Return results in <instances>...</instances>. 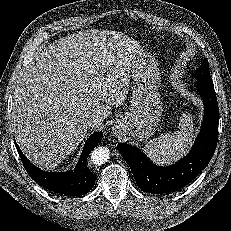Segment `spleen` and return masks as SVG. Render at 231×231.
<instances>
[{"mask_svg":"<svg viewBox=\"0 0 231 231\" xmlns=\"http://www.w3.org/2000/svg\"><path fill=\"white\" fill-rule=\"evenodd\" d=\"M193 118L188 113H183L179 123V130L173 134L163 133L150 140L145 145V151L149 157L162 164H169L189 149L193 139Z\"/></svg>","mask_w":231,"mask_h":231,"instance_id":"obj_1","label":"spleen"}]
</instances>
